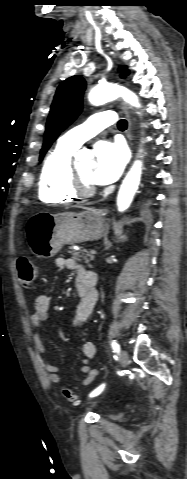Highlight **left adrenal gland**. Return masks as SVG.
Listing matches in <instances>:
<instances>
[{
	"label": "left adrenal gland",
	"instance_id": "1",
	"mask_svg": "<svg viewBox=\"0 0 187 479\" xmlns=\"http://www.w3.org/2000/svg\"><path fill=\"white\" fill-rule=\"evenodd\" d=\"M105 245H106L105 250H108L112 246L111 242L108 239L105 240Z\"/></svg>",
	"mask_w": 187,
	"mask_h": 479
}]
</instances>
